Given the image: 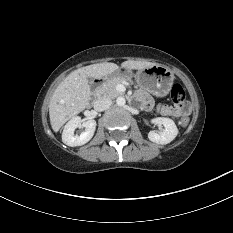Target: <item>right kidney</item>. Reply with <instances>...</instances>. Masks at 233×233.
I'll use <instances>...</instances> for the list:
<instances>
[{
	"instance_id": "right-kidney-1",
	"label": "right kidney",
	"mask_w": 233,
	"mask_h": 233,
	"mask_svg": "<svg viewBox=\"0 0 233 233\" xmlns=\"http://www.w3.org/2000/svg\"><path fill=\"white\" fill-rule=\"evenodd\" d=\"M85 128L78 136L74 135L76 128ZM96 129V121L93 119L83 121L80 117H73L65 126L62 133V141L68 146H81L91 140Z\"/></svg>"
}]
</instances>
